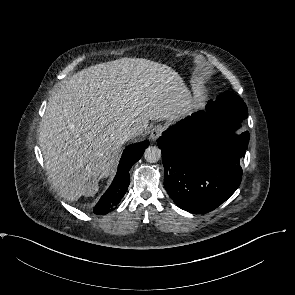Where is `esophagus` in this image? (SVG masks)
<instances>
[{
	"mask_svg": "<svg viewBox=\"0 0 295 295\" xmlns=\"http://www.w3.org/2000/svg\"><path fill=\"white\" fill-rule=\"evenodd\" d=\"M163 129L164 127L161 124H157L153 126V128L151 129V139L153 141H156L158 137L161 135V133L163 132Z\"/></svg>",
	"mask_w": 295,
	"mask_h": 295,
	"instance_id": "esophagus-1",
	"label": "esophagus"
}]
</instances>
